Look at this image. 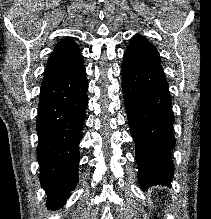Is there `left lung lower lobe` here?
Here are the masks:
<instances>
[{
    "mask_svg": "<svg viewBox=\"0 0 211 219\" xmlns=\"http://www.w3.org/2000/svg\"><path fill=\"white\" fill-rule=\"evenodd\" d=\"M122 90L136 145L140 188L170 185L174 115L159 53L144 36H133L124 53Z\"/></svg>",
    "mask_w": 211,
    "mask_h": 219,
    "instance_id": "1",
    "label": "left lung lower lobe"
}]
</instances>
